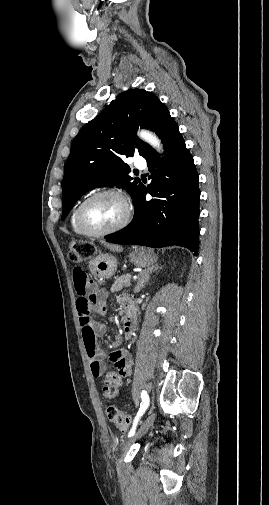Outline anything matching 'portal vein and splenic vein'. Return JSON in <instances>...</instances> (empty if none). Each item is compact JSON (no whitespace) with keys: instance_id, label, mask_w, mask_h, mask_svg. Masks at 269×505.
Here are the masks:
<instances>
[{"instance_id":"portal-vein-and-splenic-vein-1","label":"portal vein and splenic vein","mask_w":269,"mask_h":505,"mask_svg":"<svg viewBox=\"0 0 269 505\" xmlns=\"http://www.w3.org/2000/svg\"><path fill=\"white\" fill-rule=\"evenodd\" d=\"M134 278L136 279L137 277H134ZM129 285H130V282H129V283H127V286H129Z\"/></svg>"}]
</instances>
